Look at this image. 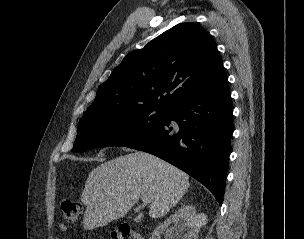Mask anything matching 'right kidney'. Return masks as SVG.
Returning <instances> with one entry per match:
<instances>
[{
    "mask_svg": "<svg viewBox=\"0 0 304 239\" xmlns=\"http://www.w3.org/2000/svg\"><path fill=\"white\" fill-rule=\"evenodd\" d=\"M205 223L206 216L197 214L195 207L186 204L160 223L150 239H157L163 231H166L165 239H198L199 230Z\"/></svg>",
    "mask_w": 304,
    "mask_h": 239,
    "instance_id": "obj_1",
    "label": "right kidney"
}]
</instances>
